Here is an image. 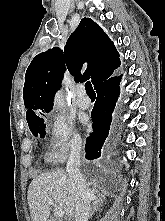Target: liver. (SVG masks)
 <instances>
[{
  "instance_id": "6515ba94",
  "label": "liver",
  "mask_w": 165,
  "mask_h": 221,
  "mask_svg": "<svg viewBox=\"0 0 165 221\" xmlns=\"http://www.w3.org/2000/svg\"><path fill=\"white\" fill-rule=\"evenodd\" d=\"M91 191L94 195L93 200L96 194L102 196L96 188ZM27 200L32 221H51L49 200H53L55 205L64 211L67 220L75 216L76 194L69 175L64 170L36 176L29 185Z\"/></svg>"
}]
</instances>
